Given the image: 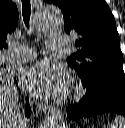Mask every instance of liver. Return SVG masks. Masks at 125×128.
Instances as JSON below:
<instances>
[{
  "instance_id": "liver-1",
  "label": "liver",
  "mask_w": 125,
  "mask_h": 128,
  "mask_svg": "<svg viewBox=\"0 0 125 128\" xmlns=\"http://www.w3.org/2000/svg\"><path fill=\"white\" fill-rule=\"evenodd\" d=\"M18 92L10 74L0 69V128H23Z\"/></svg>"
}]
</instances>
